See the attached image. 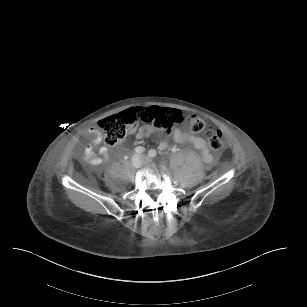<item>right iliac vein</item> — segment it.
I'll return each instance as SVG.
<instances>
[{"mask_svg": "<svg viewBox=\"0 0 307 307\" xmlns=\"http://www.w3.org/2000/svg\"><path fill=\"white\" fill-rule=\"evenodd\" d=\"M141 164H142V159H141L140 156L135 155V156L132 157V165L134 167H140Z\"/></svg>", "mask_w": 307, "mask_h": 307, "instance_id": "right-iliac-vein-1", "label": "right iliac vein"}]
</instances>
